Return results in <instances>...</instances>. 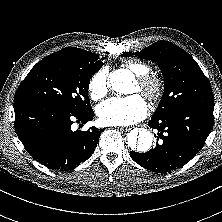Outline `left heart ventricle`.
Listing matches in <instances>:
<instances>
[{
  "instance_id": "left-heart-ventricle-1",
  "label": "left heart ventricle",
  "mask_w": 222,
  "mask_h": 222,
  "mask_svg": "<svg viewBox=\"0 0 222 222\" xmlns=\"http://www.w3.org/2000/svg\"><path fill=\"white\" fill-rule=\"evenodd\" d=\"M138 90H139V85H138V83H136L134 91H138Z\"/></svg>"
}]
</instances>
